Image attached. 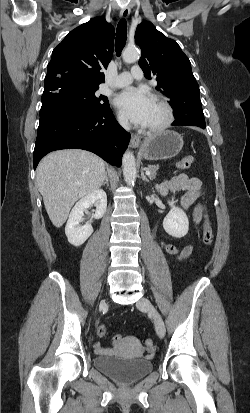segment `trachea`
Masks as SVG:
<instances>
[{"label": "trachea", "instance_id": "3493384b", "mask_svg": "<svg viewBox=\"0 0 250 413\" xmlns=\"http://www.w3.org/2000/svg\"><path fill=\"white\" fill-rule=\"evenodd\" d=\"M127 39V24L125 19H121L116 29V55L120 56L126 44Z\"/></svg>", "mask_w": 250, "mask_h": 413}]
</instances>
